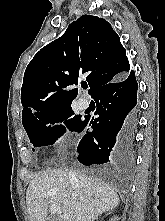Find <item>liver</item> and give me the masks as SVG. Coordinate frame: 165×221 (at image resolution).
Wrapping results in <instances>:
<instances>
[{
	"label": "liver",
	"instance_id": "obj_1",
	"mask_svg": "<svg viewBox=\"0 0 165 221\" xmlns=\"http://www.w3.org/2000/svg\"><path fill=\"white\" fill-rule=\"evenodd\" d=\"M26 203L30 221H48L49 205L58 206L69 217L67 221H94L102 213L114 210L120 200L114 188L104 181L80 172L54 169L45 170L30 182Z\"/></svg>",
	"mask_w": 165,
	"mask_h": 221
}]
</instances>
